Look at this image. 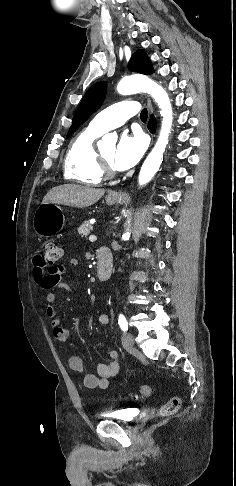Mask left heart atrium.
Masks as SVG:
<instances>
[{"instance_id":"39dd6f15","label":"left heart atrium","mask_w":236,"mask_h":486,"mask_svg":"<svg viewBox=\"0 0 236 486\" xmlns=\"http://www.w3.org/2000/svg\"><path fill=\"white\" fill-rule=\"evenodd\" d=\"M145 148V140L141 135L123 134L114 152L113 167L119 171L131 168L140 160Z\"/></svg>"}]
</instances>
